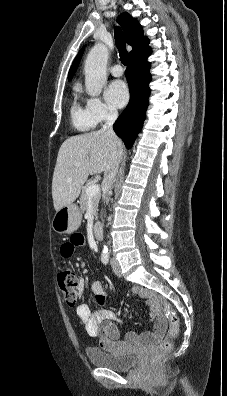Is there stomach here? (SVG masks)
Wrapping results in <instances>:
<instances>
[{"mask_svg":"<svg viewBox=\"0 0 227 396\" xmlns=\"http://www.w3.org/2000/svg\"><path fill=\"white\" fill-rule=\"evenodd\" d=\"M81 212L75 204H70L56 211L52 220V228L60 234H70L81 224Z\"/></svg>","mask_w":227,"mask_h":396,"instance_id":"obj_1","label":"stomach"}]
</instances>
